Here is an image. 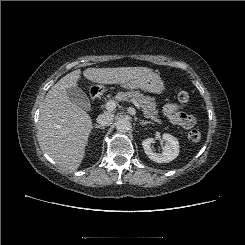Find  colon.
<instances>
[{
    "label": "colon",
    "instance_id": "colon-1",
    "mask_svg": "<svg viewBox=\"0 0 245 245\" xmlns=\"http://www.w3.org/2000/svg\"><path fill=\"white\" fill-rule=\"evenodd\" d=\"M178 100L182 105L188 104L190 100V94L186 90H181L178 93ZM188 138L191 142H198L201 139V133L197 129H193L189 132Z\"/></svg>",
    "mask_w": 245,
    "mask_h": 245
}]
</instances>
